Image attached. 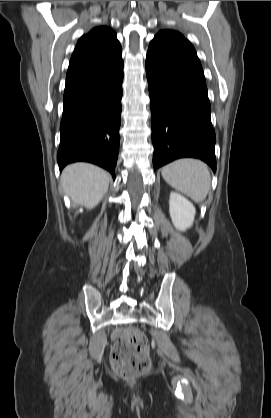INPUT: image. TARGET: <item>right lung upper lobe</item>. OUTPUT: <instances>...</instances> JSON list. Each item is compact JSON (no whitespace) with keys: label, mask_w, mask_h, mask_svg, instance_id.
I'll return each mask as SVG.
<instances>
[{"label":"right lung upper lobe","mask_w":271,"mask_h":418,"mask_svg":"<svg viewBox=\"0 0 271 418\" xmlns=\"http://www.w3.org/2000/svg\"><path fill=\"white\" fill-rule=\"evenodd\" d=\"M122 62L116 33L99 26L84 34L75 47L66 75L64 96L92 83Z\"/></svg>","instance_id":"obj_1"}]
</instances>
